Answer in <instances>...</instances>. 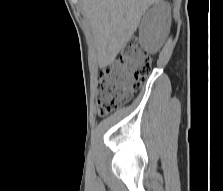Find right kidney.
<instances>
[{
	"mask_svg": "<svg viewBox=\"0 0 223 191\" xmlns=\"http://www.w3.org/2000/svg\"><path fill=\"white\" fill-rule=\"evenodd\" d=\"M169 28L168 3L159 2L143 17L140 25V42L149 53H156Z\"/></svg>",
	"mask_w": 223,
	"mask_h": 191,
	"instance_id": "1",
	"label": "right kidney"
}]
</instances>
